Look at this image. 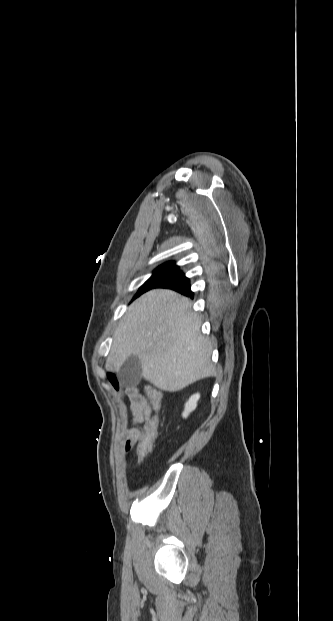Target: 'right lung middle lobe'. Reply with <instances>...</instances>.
Returning a JSON list of instances; mask_svg holds the SVG:
<instances>
[{"instance_id":"1","label":"right lung middle lobe","mask_w":333,"mask_h":621,"mask_svg":"<svg viewBox=\"0 0 333 621\" xmlns=\"http://www.w3.org/2000/svg\"><path fill=\"white\" fill-rule=\"evenodd\" d=\"M179 269V267L173 263V262H168L165 263L161 266H159L154 274L151 276L150 279H148L144 285H142L139 289V291L137 292V294L135 295L134 298L138 297L139 295H141L142 293L148 291L149 289H151L156 283H158L162 278L176 272Z\"/></svg>"}]
</instances>
